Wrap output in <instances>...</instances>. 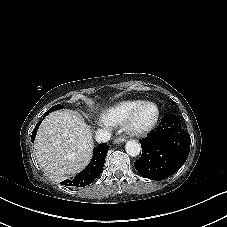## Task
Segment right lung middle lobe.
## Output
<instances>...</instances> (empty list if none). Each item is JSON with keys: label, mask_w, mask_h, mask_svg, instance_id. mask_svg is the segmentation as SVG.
Segmentation results:
<instances>
[{"label": "right lung middle lobe", "mask_w": 227, "mask_h": 227, "mask_svg": "<svg viewBox=\"0 0 227 227\" xmlns=\"http://www.w3.org/2000/svg\"><path fill=\"white\" fill-rule=\"evenodd\" d=\"M58 109H63V106L61 104L55 105L53 107H51L44 116L48 115L49 113L58 110Z\"/></svg>", "instance_id": "1"}]
</instances>
